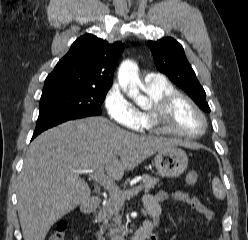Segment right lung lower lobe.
<instances>
[{"label":"right lung lower lobe","instance_id":"98d812e1","mask_svg":"<svg viewBox=\"0 0 248 240\" xmlns=\"http://www.w3.org/2000/svg\"><path fill=\"white\" fill-rule=\"evenodd\" d=\"M77 118H59V117H45V118H38L35 132L32 136V139L39 135L44 130H47L53 126L66 122L68 120H73Z\"/></svg>","mask_w":248,"mask_h":240}]
</instances>
